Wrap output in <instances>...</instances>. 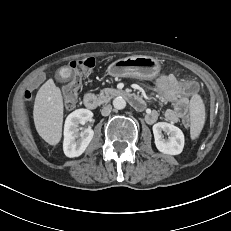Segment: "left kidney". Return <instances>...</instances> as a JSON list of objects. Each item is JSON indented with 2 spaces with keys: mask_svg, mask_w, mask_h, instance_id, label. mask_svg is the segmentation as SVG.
Here are the masks:
<instances>
[{
  "mask_svg": "<svg viewBox=\"0 0 231 231\" xmlns=\"http://www.w3.org/2000/svg\"><path fill=\"white\" fill-rule=\"evenodd\" d=\"M162 132L168 134L164 139ZM153 134L157 149L168 155H178L184 148V134L178 127L166 122H158L153 125Z\"/></svg>",
  "mask_w": 231,
  "mask_h": 231,
  "instance_id": "1",
  "label": "left kidney"
}]
</instances>
